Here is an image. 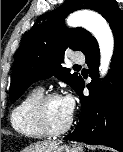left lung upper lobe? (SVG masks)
Masks as SVG:
<instances>
[{
	"mask_svg": "<svg viewBox=\"0 0 123 152\" xmlns=\"http://www.w3.org/2000/svg\"><path fill=\"white\" fill-rule=\"evenodd\" d=\"M80 9H91L107 18L118 5L115 0H66L59 8L40 16L15 57L10 86L12 100H17L33 82L53 75L77 90L82 78L62 68L64 53L68 48L85 53L96 41L87 30L64 25L65 17Z\"/></svg>",
	"mask_w": 123,
	"mask_h": 152,
	"instance_id": "left-lung-upper-lobe-1",
	"label": "left lung upper lobe"
}]
</instances>
